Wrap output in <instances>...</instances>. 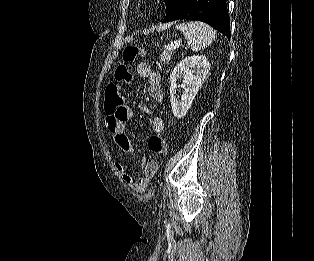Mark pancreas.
<instances>
[{
  "label": "pancreas",
  "instance_id": "cf45deb5",
  "mask_svg": "<svg viewBox=\"0 0 314 261\" xmlns=\"http://www.w3.org/2000/svg\"><path fill=\"white\" fill-rule=\"evenodd\" d=\"M172 54H173V50L167 49V47H165L162 55L160 56V59H161V62L163 63V65L169 64V62L171 61Z\"/></svg>",
  "mask_w": 314,
  "mask_h": 261
}]
</instances>
